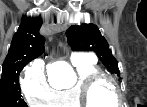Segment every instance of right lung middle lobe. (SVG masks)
<instances>
[{
	"label": "right lung middle lobe",
	"mask_w": 147,
	"mask_h": 107,
	"mask_svg": "<svg viewBox=\"0 0 147 107\" xmlns=\"http://www.w3.org/2000/svg\"><path fill=\"white\" fill-rule=\"evenodd\" d=\"M23 63L19 72H12L1 77L0 81V107H27L21 98L19 74L30 61Z\"/></svg>",
	"instance_id": "obj_1"
}]
</instances>
